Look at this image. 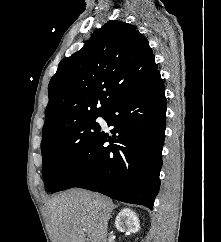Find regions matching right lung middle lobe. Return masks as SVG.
Returning <instances> with one entry per match:
<instances>
[{
	"instance_id": "right-lung-middle-lobe-1",
	"label": "right lung middle lobe",
	"mask_w": 221,
	"mask_h": 242,
	"mask_svg": "<svg viewBox=\"0 0 221 242\" xmlns=\"http://www.w3.org/2000/svg\"><path fill=\"white\" fill-rule=\"evenodd\" d=\"M99 114L82 116L43 135L42 175L48 191H52L71 164L100 133L95 119Z\"/></svg>"
}]
</instances>
